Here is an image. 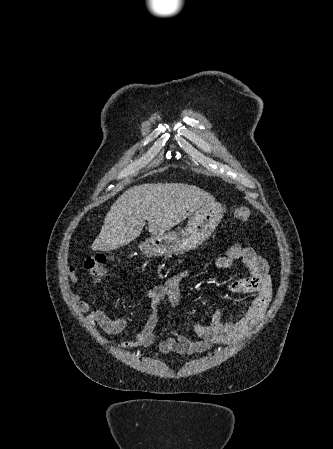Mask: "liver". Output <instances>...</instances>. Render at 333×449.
<instances>
[{
  "label": "liver",
  "mask_w": 333,
  "mask_h": 449,
  "mask_svg": "<svg viewBox=\"0 0 333 449\" xmlns=\"http://www.w3.org/2000/svg\"><path fill=\"white\" fill-rule=\"evenodd\" d=\"M212 201L211 194L188 184L134 186L113 203L92 249L107 252L129 244L140 235L146 220L150 234L161 235Z\"/></svg>",
  "instance_id": "obj_1"
}]
</instances>
